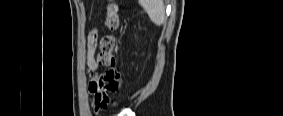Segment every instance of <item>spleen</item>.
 I'll return each mask as SVG.
<instances>
[{"label":"spleen","instance_id":"spleen-1","mask_svg":"<svg viewBox=\"0 0 283 116\" xmlns=\"http://www.w3.org/2000/svg\"><path fill=\"white\" fill-rule=\"evenodd\" d=\"M139 4L155 25L160 26L164 23L165 7L162 0H140Z\"/></svg>","mask_w":283,"mask_h":116}]
</instances>
